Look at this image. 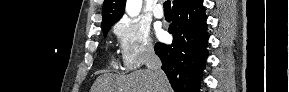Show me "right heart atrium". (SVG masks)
<instances>
[{
  "label": "right heart atrium",
  "mask_w": 289,
  "mask_h": 92,
  "mask_svg": "<svg viewBox=\"0 0 289 92\" xmlns=\"http://www.w3.org/2000/svg\"><path fill=\"white\" fill-rule=\"evenodd\" d=\"M123 66L134 70L155 55L149 29L139 21L122 18L114 25Z\"/></svg>",
  "instance_id": "1"
}]
</instances>
